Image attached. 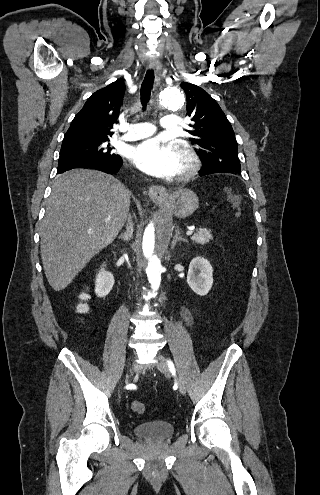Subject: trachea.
Segmentation results:
<instances>
[{
  "label": "trachea",
  "mask_w": 320,
  "mask_h": 495,
  "mask_svg": "<svg viewBox=\"0 0 320 495\" xmlns=\"http://www.w3.org/2000/svg\"><path fill=\"white\" fill-rule=\"evenodd\" d=\"M153 83H154V72L153 70H148L142 82L141 91H140L143 110L146 109V105L150 99Z\"/></svg>",
  "instance_id": "3493384b"
}]
</instances>
